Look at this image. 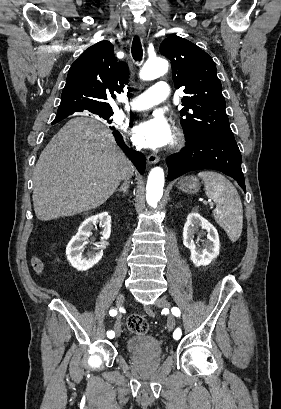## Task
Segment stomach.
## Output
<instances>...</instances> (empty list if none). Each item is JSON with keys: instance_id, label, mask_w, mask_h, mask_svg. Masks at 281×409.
I'll list each match as a JSON object with an SVG mask.
<instances>
[{"instance_id": "1", "label": "stomach", "mask_w": 281, "mask_h": 409, "mask_svg": "<svg viewBox=\"0 0 281 409\" xmlns=\"http://www.w3.org/2000/svg\"><path fill=\"white\" fill-rule=\"evenodd\" d=\"M200 182L196 176H185L180 182H178V188L184 190V192H198Z\"/></svg>"}]
</instances>
